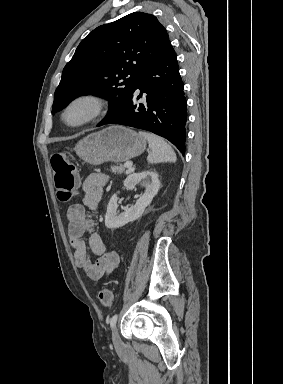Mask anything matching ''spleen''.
Segmentation results:
<instances>
[{
    "label": "spleen",
    "mask_w": 283,
    "mask_h": 384,
    "mask_svg": "<svg viewBox=\"0 0 283 384\" xmlns=\"http://www.w3.org/2000/svg\"><path fill=\"white\" fill-rule=\"evenodd\" d=\"M139 136L145 138L149 144L150 152L147 158L149 164H160V162H176V154L173 152L171 146L155 136V134H147V132H139Z\"/></svg>",
    "instance_id": "spleen-1"
}]
</instances>
